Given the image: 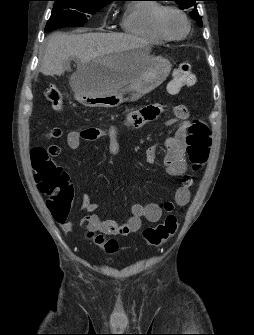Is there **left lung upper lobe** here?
Masks as SVG:
<instances>
[{
	"instance_id": "1",
	"label": "left lung upper lobe",
	"mask_w": 254,
	"mask_h": 335,
	"mask_svg": "<svg viewBox=\"0 0 254 335\" xmlns=\"http://www.w3.org/2000/svg\"><path fill=\"white\" fill-rule=\"evenodd\" d=\"M172 1H175L181 8L187 9L190 7H195L197 0H172ZM190 15L192 16L194 20L197 21V23L200 26H202V20L201 18L198 17L199 14L197 10H193L192 12H190Z\"/></svg>"
}]
</instances>
